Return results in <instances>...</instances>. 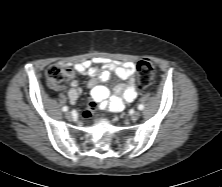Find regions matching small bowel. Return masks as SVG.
I'll return each instance as SVG.
<instances>
[{"label": "small bowel", "instance_id": "c3829d8e", "mask_svg": "<svg viewBox=\"0 0 222 187\" xmlns=\"http://www.w3.org/2000/svg\"><path fill=\"white\" fill-rule=\"evenodd\" d=\"M64 67L66 75L71 79L67 95L72 104L76 103L81 93L78 81L73 79L76 73L86 74L90 77L88 87L91 90V96L99 102L101 108L119 112L123 110L127 103L133 102L137 97L134 80L135 64L133 62L94 57L77 63L73 67L67 65H64ZM111 73L116 74L124 81L117 84L112 91L99 84V82L107 81ZM49 85L54 89L59 88L57 84L50 81Z\"/></svg>", "mask_w": 222, "mask_h": 187}]
</instances>
